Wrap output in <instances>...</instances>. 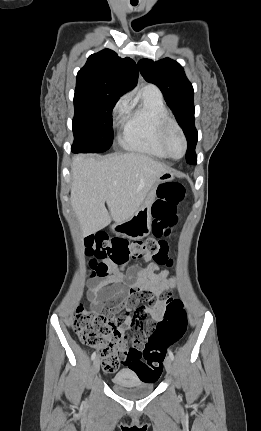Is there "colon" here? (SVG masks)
<instances>
[{
    "label": "colon",
    "instance_id": "5ec220e1",
    "mask_svg": "<svg viewBox=\"0 0 261 431\" xmlns=\"http://www.w3.org/2000/svg\"><path fill=\"white\" fill-rule=\"evenodd\" d=\"M184 197L185 190L177 182L159 185L157 199L152 206L154 238L131 242L123 237L111 238L99 233L88 236L85 247L87 256L91 258L92 273L97 276L107 273L106 263L99 262L102 260L121 266L131 260L152 258L160 265H171L168 245L162 238L170 235ZM158 302L165 305L164 316L154 325V335L149 336L142 351L127 347V337L118 329L121 317L108 318L79 306L73 317V329L84 344L98 348L105 371H115L120 355L125 354L126 369H132L133 375H137L143 385L154 386L162 380L166 348L180 341L187 330V314L180 300L174 299L171 292L164 291Z\"/></svg>",
    "mask_w": 261,
    "mask_h": 431
}]
</instances>
